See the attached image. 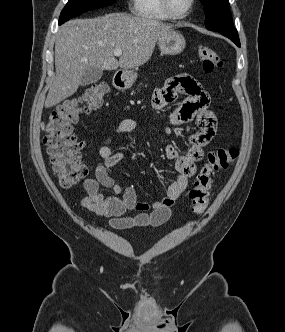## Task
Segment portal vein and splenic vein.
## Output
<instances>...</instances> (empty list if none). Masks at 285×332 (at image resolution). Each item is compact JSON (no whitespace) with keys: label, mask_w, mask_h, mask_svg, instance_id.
Wrapping results in <instances>:
<instances>
[{"label":"portal vein and splenic vein","mask_w":285,"mask_h":332,"mask_svg":"<svg viewBox=\"0 0 285 332\" xmlns=\"http://www.w3.org/2000/svg\"><path fill=\"white\" fill-rule=\"evenodd\" d=\"M113 53H114L115 56L120 57L122 55V50L121 49H115Z\"/></svg>","instance_id":"portal-vein-and-splenic-vein-1"}]
</instances>
